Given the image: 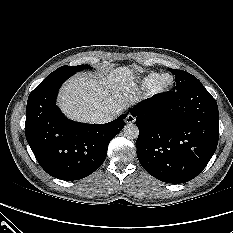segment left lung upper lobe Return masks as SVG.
<instances>
[{
  "mask_svg": "<svg viewBox=\"0 0 233 233\" xmlns=\"http://www.w3.org/2000/svg\"><path fill=\"white\" fill-rule=\"evenodd\" d=\"M169 71L175 75L176 91L183 90L192 86H200L201 82L192 74L176 69H169Z\"/></svg>",
  "mask_w": 233,
  "mask_h": 233,
  "instance_id": "5c2ea615",
  "label": "left lung upper lobe"
}]
</instances>
